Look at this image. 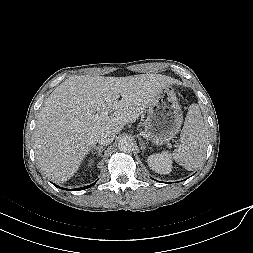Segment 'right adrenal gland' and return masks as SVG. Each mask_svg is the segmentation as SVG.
Listing matches in <instances>:
<instances>
[{"instance_id": "2a0ac1e0", "label": "right adrenal gland", "mask_w": 253, "mask_h": 253, "mask_svg": "<svg viewBox=\"0 0 253 253\" xmlns=\"http://www.w3.org/2000/svg\"><path fill=\"white\" fill-rule=\"evenodd\" d=\"M104 148H105L104 146L93 145L90 150H91V152L96 150L98 152V155L100 156Z\"/></svg>"}]
</instances>
